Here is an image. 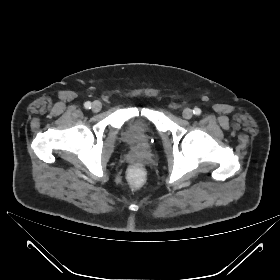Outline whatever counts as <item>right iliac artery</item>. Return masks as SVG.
Returning <instances> with one entry per match:
<instances>
[{"label": "right iliac artery", "mask_w": 280, "mask_h": 280, "mask_svg": "<svg viewBox=\"0 0 280 280\" xmlns=\"http://www.w3.org/2000/svg\"><path fill=\"white\" fill-rule=\"evenodd\" d=\"M84 106H85L86 109H90L91 108V103L90 102H86L84 104Z\"/></svg>", "instance_id": "right-iliac-artery-1"}]
</instances>
